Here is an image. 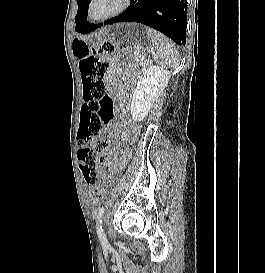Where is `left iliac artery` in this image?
I'll return each mask as SVG.
<instances>
[{"label":"left iliac artery","instance_id":"left-iliac-artery-1","mask_svg":"<svg viewBox=\"0 0 265 273\" xmlns=\"http://www.w3.org/2000/svg\"><path fill=\"white\" fill-rule=\"evenodd\" d=\"M104 211H105V208L101 207L97 212L96 228H97V234H98V237H99V240L101 242L102 247L103 248H109V242H108V240L106 238V235L103 232V229H102V226H101Z\"/></svg>","mask_w":265,"mask_h":273}]
</instances>
